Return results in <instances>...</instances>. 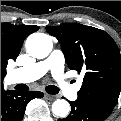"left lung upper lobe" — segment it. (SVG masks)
I'll return each instance as SVG.
<instances>
[{"label":"left lung upper lobe","instance_id":"left-lung-upper-lobe-1","mask_svg":"<svg viewBox=\"0 0 121 121\" xmlns=\"http://www.w3.org/2000/svg\"><path fill=\"white\" fill-rule=\"evenodd\" d=\"M46 29L61 43L69 67L85 73L78 99L110 115L121 90V55L114 40L103 30L78 23Z\"/></svg>","mask_w":121,"mask_h":121}]
</instances>
